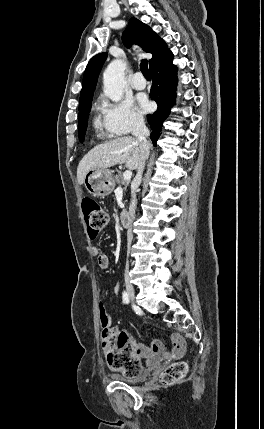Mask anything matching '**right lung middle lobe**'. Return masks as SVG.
<instances>
[{"mask_svg":"<svg viewBox=\"0 0 264 429\" xmlns=\"http://www.w3.org/2000/svg\"><path fill=\"white\" fill-rule=\"evenodd\" d=\"M91 103L79 106V140H84Z\"/></svg>","mask_w":264,"mask_h":429,"instance_id":"obj_1","label":"right lung middle lobe"}]
</instances>
